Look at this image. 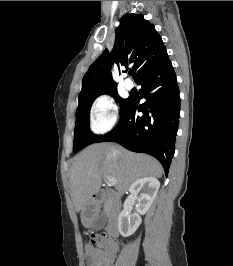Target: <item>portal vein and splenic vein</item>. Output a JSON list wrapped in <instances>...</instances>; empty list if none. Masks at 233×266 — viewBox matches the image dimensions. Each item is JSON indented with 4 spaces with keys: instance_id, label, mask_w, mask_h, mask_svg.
Segmentation results:
<instances>
[{
    "instance_id": "18ae733b",
    "label": "portal vein and splenic vein",
    "mask_w": 233,
    "mask_h": 266,
    "mask_svg": "<svg viewBox=\"0 0 233 266\" xmlns=\"http://www.w3.org/2000/svg\"><path fill=\"white\" fill-rule=\"evenodd\" d=\"M105 179L109 185H115L116 184V180L112 177H106Z\"/></svg>"
}]
</instances>
